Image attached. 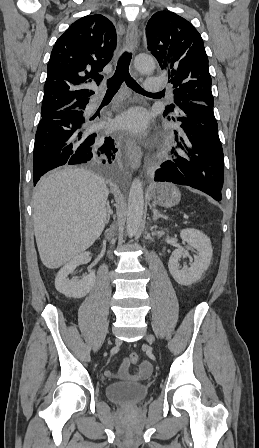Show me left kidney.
<instances>
[{
    "label": "left kidney",
    "instance_id": "5707ae66",
    "mask_svg": "<svg viewBox=\"0 0 259 448\" xmlns=\"http://www.w3.org/2000/svg\"><path fill=\"white\" fill-rule=\"evenodd\" d=\"M180 236L191 248L197 250L198 254L194 256V262L190 264V268L184 266L180 270L179 260L182 258L183 250L177 248L170 256L168 268L171 276L180 286H191V284L200 280L203 272H206L210 266L213 256L211 240L205 234L199 232V230H191V228L181 230Z\"/></svg>",
    "mask_w": 259,
    "mask_h": 448
}]
</instances>
